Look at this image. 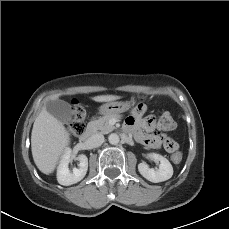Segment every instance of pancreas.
<instances>
[{
	"label": "pancreas",
	"mask_w": 229,
	"mask_h": 229,
	"mask_svg": "<svg viewBox=\"0 0 229 229\" xmlns=\"http://www.w3.org/2000/svg\"><path fill=\"white\" fill-rule=\"evenodd\" d=\"M112 118H120V115L117 114H110L99 117L97 120L91 121L89 123V128L93 132L100 131L103 134H107L115 129V126L109 123V120Z\"/></svg>",
	"instance_id": "obj_1"
}]
</instances>
